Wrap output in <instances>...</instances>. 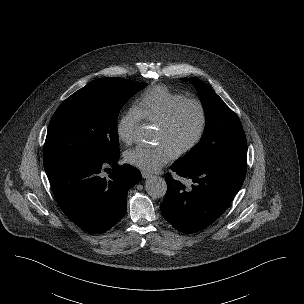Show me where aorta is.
I'll return each mask as SVG.
<instances>
[{
    "instance_id": "762f6f07",
    "label": "aorta",
    "mask_w": 304,
    "mask_h": 304,
    "mask_svg": "<svg viewBox=\"0 0 304 304\" xmlns=\"http://www.w3.org/2000/svg\"><path fill=\"white\" fill-rule=\"evenodd\" d=\"M146 136V133L143 132L141 138H146ZM145 189L151 197L162 198L166 194L167 184L162 177L152 176L146 180Z\"/></svg>"
}]
</instances>
